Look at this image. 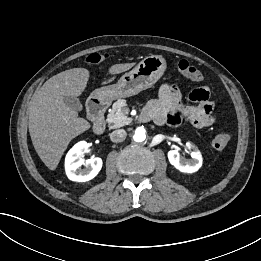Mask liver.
<instances>
[{
  "mask_svg": "<svg viewBox=\"0 0 261 261\" xmlns=\"http://www.w3.org/2000/svg\"><path fill=\"white\" fill-rule=\"evenodd\" d=\"M135 63L112 65L108 72L115 75L132 68ZM89 80L85 68H73L51 77L34 93L29 104V133L33 146L50 169L55 170L72 139L91 125L76 110L64 103V96L78 97Z\"/></svg>",
  "mask_w": 261,
  "mask_h": 261,
  "instance_id": "6515ba94",
  "label": "liver"
}]
</instances>
